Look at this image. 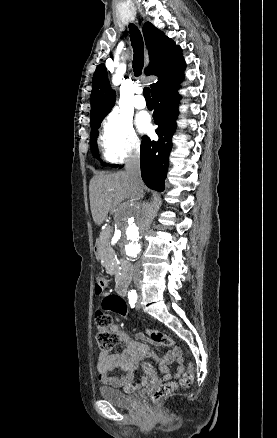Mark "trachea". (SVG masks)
I'll return each instance as SVG.
<instances>
[{
  "mask_svg": "<svg viewBox=\"0 0 277 438\" xmlns=\"http://www.w3.org/2000/svg\"><path fill=\"white\" fill-rule=\"evenodd\" d=\"M129 33H130V40L131 45L134 50V56H133V71L134 75L136 77H139L142 73L143 65H144V43L142 35L139 31V29L131 23L129 25ZM143 95L146 100H151L150 95V89L149 87H145L143 89Z\"/></svg>",
  "mask_w": 277,
  "mask_h": 438,
  "instance_id": "obj_1",
  "label": "trachea"
}]
</instances>
